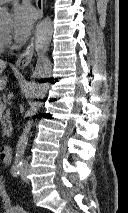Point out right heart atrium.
Returning a JSON list of instances; mask_svg holds the SVG:
<instances>
[{
    "mask_svg": "<svg viewBox=\"0 0 128 213\" xmlns=\"http://www.w3.org/2000/svg\"><path fill=\"white\" fill-rule=\"evenodd\" d=\"M9 44V37L5 34H1L0 48L3 49Z\"/></svg>",
    "mask_w": 128,
    "mask_h": 213,
    "instance_id": "obj_1",
    "label": "right heart atrium"
}]
</instances>
